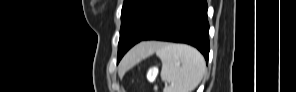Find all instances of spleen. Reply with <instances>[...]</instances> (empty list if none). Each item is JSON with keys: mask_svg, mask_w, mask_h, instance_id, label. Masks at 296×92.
<instances>
[{"mask_svg": "<svg viewBox=\"0 0 296 92\" xmlns=\"http://www.w3.org/2000/svg\"><path fill=\"white\" fill-rule=\"evenodd\" d=\"M154 51L162 62L161 79L169 83L164 92H191L203 79L206 64L195 48L183 44L151 43L141 58Z\"/></svg>", "mask_w": 296, "mask_h": 92, "instance_id": "1", "label": "spleen"}]
</instances>
